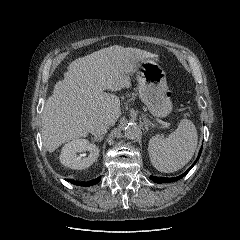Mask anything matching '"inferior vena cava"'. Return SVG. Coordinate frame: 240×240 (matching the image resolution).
Instances as JSON below:
<instances>
[{
	"label": "inferior vena cava",
	"instance_id": "602c4592",
	"mask_svg": "<svg viewBox=\"0 0 240 240\" xmlns=\"http://www.w3.org/2000/svg\"><path fill=\"white\" fill-rule=\"evenodd\" d=\"M109 126H110L109 122L106 120H103L93 127V129L91 130V134L95 136H101L108 131Z\"/></svg>",
	"mask_w": 240,
	"mask_h": 240
}]
</instances>
